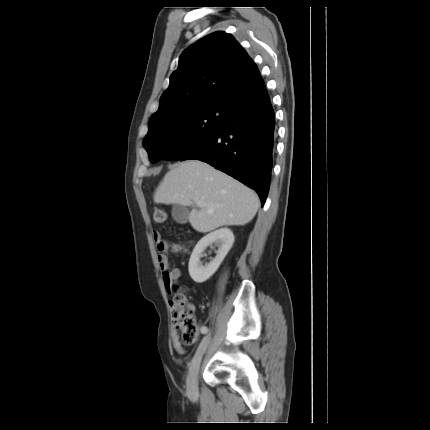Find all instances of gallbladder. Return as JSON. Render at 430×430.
Listing matches in <instances>:
<instances>
[{
	"label": "gallbladder",
	"mask_w": 430,
	"mask_h": 430,
	"mask_svg": "<svg viewBox=\"0 0 430 430\" xmlns=\"http://www.w3.org/2000/svg\"><path fill=\"white\" fill-rule=\"evenodd\" d=\"M172 217L177 223L184 224L189 219V210L186 206L174 205L172 208Z\"/></svg>",
	"instance_id": "gallbladder-1"
}]
</instances>
